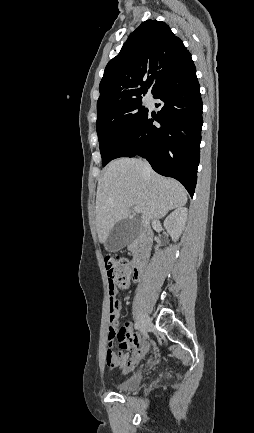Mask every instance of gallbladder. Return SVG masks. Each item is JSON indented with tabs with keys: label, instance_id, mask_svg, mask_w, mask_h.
I'll return each instance as SVG.
<instances>
[{
	"label": "gallbladder",
	"instance_id": "gallbladder-1",
	"mask_svg": "<svg viewBox=\"0 0 254 433\" xmlns=\"http://www.w3.org/2000/svg\"><path fill=\"white\" fill-rule=\"evenodd\" d=\"M142 232L140 221L136 219H122L118 221L110 231L105 249L109 252H116L134 241Z\"/></svg>",
	"mask_w": 254,
	"mask_h": 433
}]
</instances>
